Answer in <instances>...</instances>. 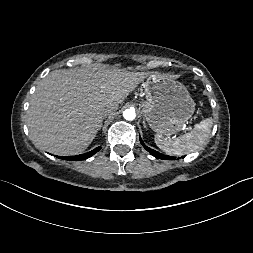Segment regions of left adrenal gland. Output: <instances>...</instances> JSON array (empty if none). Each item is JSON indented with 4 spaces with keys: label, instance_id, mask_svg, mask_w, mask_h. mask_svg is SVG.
Masks as SVG:
<instances>
[{
    "label": "left adrenal gland",
    "instance_id": "1",
    "mask_svg": "<svg viewBox=\"0 0 253 253\" xmlns=\"http://www.w3.org/2000/svg\"><path fill=\"white\" fill-rule=\"evenodd\" d=\"M143 126H144V128L147 129V126H146V123H145V119H143Z\"/></svg>",
    "mask_w": 253,
    "mask_h": 253
}]
</instances>
